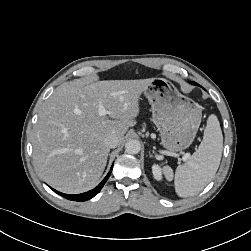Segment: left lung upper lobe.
Wrapping results in <instances>:
<instances>
[{
  "mask_svg": "<svg viewBox=\"0 0 251 251\" xmlns=\"http://www.w3.org/2000/svg\"><path fill=\"white\" fill-rule=\"evenodd\" d=\"M193 85H198L196 82H191Z\"/></svg>",
  "mask_w": 251,
  "mask_h": 251,
  "instance_id": "1",
  "label": "left lung upper lobe"
}]
</instances>
